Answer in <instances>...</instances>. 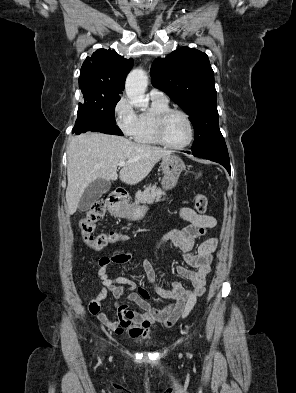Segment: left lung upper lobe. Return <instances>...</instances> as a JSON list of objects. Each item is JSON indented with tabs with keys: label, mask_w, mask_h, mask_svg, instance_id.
<instances>
[{
	"label": "left lung upper lobe",
	"mask_w": 296,
	"mask_h": 393,
	"mask_svg": "<svg viewBox=\"0 0 296 393\" xmlns=\"http://www.w3.org/2000/svg\"><path fill=\"white\" fill-rule=\"evenodd\" d=\"M152 84L189 116L195 130L192 152L227 148L219 129L214 72L208 56L182 47L151 67Z\"/></svg>",
	"instance_id": "5c2ea615"
}]
</instances>
